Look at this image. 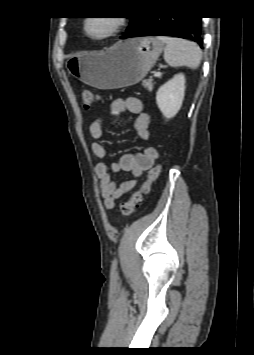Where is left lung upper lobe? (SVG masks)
I'll use <instances>...</instances> for the list:
<instances>
[{"label": "left lung upper lobe", "mask_w": 254, "mask_h": 355, "mask_svg": "<svg viewBox=\"0 0 254 355\" xmlns=\"http://www.w3.org/2000/svg\"><path fill=\"white\" fill-rule=\"evenodd\" d=\"M129 19H130V25L128 26L127 31H128L130 28H132V27L134 26V24L136 23V21H137V18H136V17H130ZM127 31H126V32H127Z\"/></svg>", "instance_id": "left-lung-upper-lobe-1"}]
</instances>
